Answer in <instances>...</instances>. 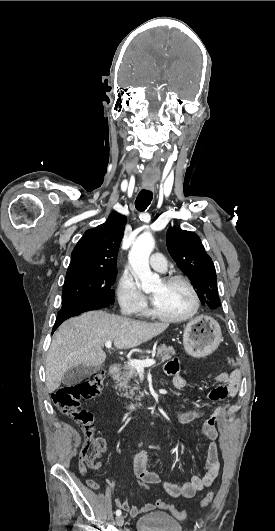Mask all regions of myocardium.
Wrapping results in <instances>:
<instances>
[{"instance_id": "myocardium-1", "label": "myocardium", "mask_w": 275, "mask_h": 531, "mask_svg": "<svg viewBox=\"0 0 275 531\" xmlns=\"http://www.w3.org/2000/svg\"><path fill=\"white\" fill-rule=\"evenodd\" d=\"M162 282H164V283L177 282V283H181L184 286H186V288L189 290V292H190V294L192 296L193 305H192L191 310L188 313H186L185 315L179 316V317H170V316L162 315L156 309L154 301L152 300V311H153V314L159 320L167 322V323L186 322V321L190 320L192 317H194L197 314V312L199 310V307H200V298H199L198 292H197L196 288L194 287V285L192 284V282L188 278H186L184 276H181V275H170V276L164 277L162 279Z\"/></svg>"}]
</instances>
